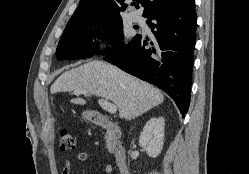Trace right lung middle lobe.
Returning a JSON list of instances; mask_svg holds the SVG:
<instances>
[{
  "label": "right lung middle lobe",
  "mask_w": 249,
  "mask_h": 174,
  "mask_svg": "<svg viewBox=\"0 0 249 174\" xmlns=\"http://www.w3.org/2000/svg\"><path fill=\"white\" fill-rule=\"evenodd\" d=\"M91 27L95 28L91 29ZM98 29H105L106 32L100 33ZM96 36L111 40V44L115 43V45L109 51H99L93 42H91V39ZM139 36L140 35H136L130 44ZM125 47L122 42V18H106L67 25L58 43L56 57L60 60L83 59L92 57L95 54H115Z\"/></svg>",
  "instance_id": "1"
}]
</instances>
